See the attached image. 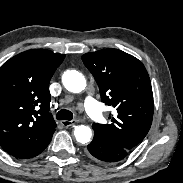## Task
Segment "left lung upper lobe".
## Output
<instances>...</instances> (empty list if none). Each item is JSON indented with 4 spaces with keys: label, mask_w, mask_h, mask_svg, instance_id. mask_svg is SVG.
Listing matches in <instances>:
<instances>
[{
    "label": "left lung upper lobe",
    "mask_w": 183,
    "mask_h": 183,
    "mask_svg": "<svg viewBox=\"0 0 183 183\" xmlns=\"http://www.w3.org/2000/svg\"><path fill=\"white\" fill-rule=\"evenodd\" d=\"M82 60L99 86L101 100L116 109L109 116L111 123H94V131L132 150L148 133L153 118L152 87L144 65L114 48L86 53Z\"/></svg>",
    "instance_id": "1"
}]
</instances>
